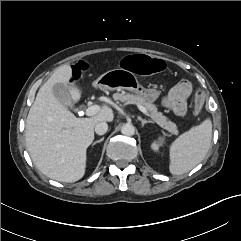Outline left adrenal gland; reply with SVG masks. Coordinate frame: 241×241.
Returning a JSON list of instances; mask_svg holds the SVG:
<instances>
[{
	"mask_svg": "<svg viewBox=\"0 0 241 241\" xmlns=\"http://www.w3.org/2000/svg\"><path fill=\"white\" fill-rule=\"evenodd\" d=\"M138 120L141 121L142 127H144V125L147 123H154L153 121L145 120V119L141 118L140 116H138Z\"/></svg>",
	"mask_w": 241,
	"mask_h": 241,
	"instance_id": "obj_1",
	"label": "left adrenal gland"
}]
</instances>
